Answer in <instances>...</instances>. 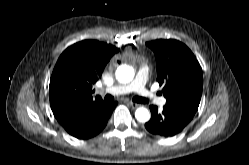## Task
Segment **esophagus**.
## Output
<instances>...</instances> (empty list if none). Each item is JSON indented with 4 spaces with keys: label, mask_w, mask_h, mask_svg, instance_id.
Returning a JSON list of instances; mask_svg holds the SVG:
<instances>
[{
    "label": "esophagus",
    "mask_w": 249,
    "mask_h": 165,
    "mask_svg": "<svg viewBox=\"0 0 249 165\" xmlns=\"http://www.w3.org/2000/svg\"><path fill=\"white\" fill-rule=\"evenodd\" d=\"M128 104L133 108H138L140 105L138 103L132 102V101H128Z\"/></svg>",
    "instance_id": "34e87169"
}]
</instances>
